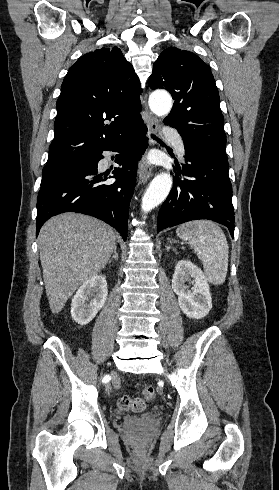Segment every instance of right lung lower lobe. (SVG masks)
Wrapping results in <instances>:
<instances>
[{
    "label": "right lung lower lobe",
    "mask_w": 279,
    "mask_h": 490,
    "mask_svg": "<svg viewBox=\"0 0 279 490\" xmlns=\"http://www.w3.org/2000/svg\"><path fill=\"white\" fill-rule=\"evenodd\" d=\"M146 126H137L120 138L109 142L99 152L85 158L86 167L41 183L37 197L36 236L52 216L77 212L101 219L127 238L129 203L137 174V160L148 146ZM104 150L119 152L115 162L122 168L113 170V183L97 174V164Z\"/></svg>",
    "instance_id": "1"
}]
</instances>
